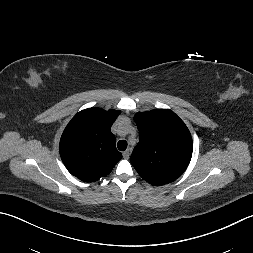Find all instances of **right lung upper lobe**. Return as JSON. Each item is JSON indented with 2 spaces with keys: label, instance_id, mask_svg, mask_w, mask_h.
Returning <instances> with one entry per match:
<instances>
[{
  "label": "right lung upper lobe",
  "instance_id": "obj_1",
  "mask_svg": "<svg viewBox=\"0 0 253 253\" xmlns=\"http://www.w3.org/2000/svg\"><path fill=\"white\" fill-rule=\"evenodd\" d=\"M120 114L89 108L77 113L60 140V156L68 171L84 182H94L110 173L121 160L110 128Z\"/></svg>",
  "mask_w": 253,
  "mask_h": 253
}]
</instances>
